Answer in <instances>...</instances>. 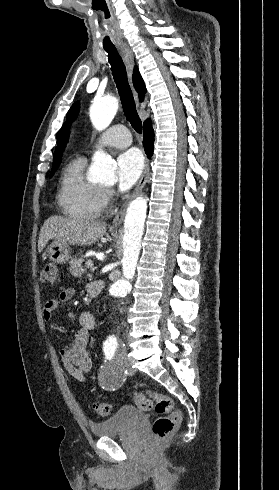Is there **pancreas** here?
Masks as SVG:
<instances>
[{"instance_id":"pancreas-1","label":"pancreas","mask_w":279,"mask_h":490,"mask_svg":"<svg viewBox=\"0 0 279 490\" xmlns=\"http://www.w3.org/2000/svg\"><path fill=\"white\" fill-rule=\"evenodd\" d=\"M70 268H68L71 276L74 278H82V274H84L85 270H83L82 260L81 258H73L71 262H69Z\"/></svg>"}]
</instances>
